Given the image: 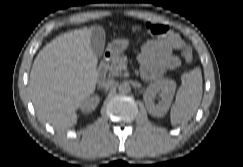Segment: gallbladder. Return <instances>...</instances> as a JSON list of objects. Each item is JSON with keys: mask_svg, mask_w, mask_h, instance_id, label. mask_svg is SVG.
Here are the masks:
<instances>
[{"mask_svg": "<svg viewBox=\"0 0 243 167\" xmlns=\"http://www.w3.org/2000/svg\"><path fill=\"white\" fill-rule=\"evenodd\" d=\"M105 32L103 28L96 26L91 33V47L94 54L99 58L104 50Z\"/></svg>", "mask_w": 243, "mask_h": 167, "instance_id": "gallbladder-1", "label": "gallbladder"}]
</instances>
